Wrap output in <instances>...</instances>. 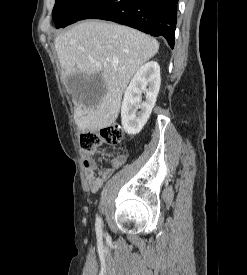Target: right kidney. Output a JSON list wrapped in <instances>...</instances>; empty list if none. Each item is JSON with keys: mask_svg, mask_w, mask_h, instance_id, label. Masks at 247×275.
<instances>
[{"mask_svg": "<svg viewBox=\"0 0 247 275\" xmlns=\"http://www.w3.org/2000/svg\"><path fill=\"white\" fill-rule=\"evenodd\" d=\"M160 83V66L155 61L142 65L133 76L121 106L122 126L129 135L138 134L149 119ZM142 93L145 94L144 102L141 99Z\"/></svg>", "mask_w": 247, "mask_h": 275, "instance_id": "obj_1", "label": "right kidney"}]
</instances>
